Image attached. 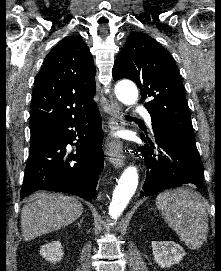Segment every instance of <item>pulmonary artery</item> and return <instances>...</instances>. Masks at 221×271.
I'll list each match as a JSON object with an SVG mask.
<instances>
[{"label":"pulmonary artery","instance_id":"1","mask_svg":"<svg viewBox=\"0 0 221 271\" xmlns=\"http://www.w3.org/2000/svg\"><path fill=\"white\" fill-rule=\"evenodd\" d=\"M137 106H140V103H137ZM133 111H134V112H141V111H142V108H141V107H134V108H133Z\"/></svg>","mask_w":221,"mask_h":271}]
</instances>
